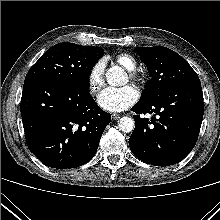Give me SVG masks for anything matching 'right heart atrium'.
<instances>
[{"label": "right heart atrium", "mask_w": 220, "mask_h": 220, "mask_svg": "<svg viewBox=\"0 0 220 220\" xmlns=\"http://www.w3.org/2000/svg\"><path fill=\"white\" fill-rule=\"evenodd\" d=\"M106 68L105 59L97 60L90 68L88 73V86L93 94L99 92L104 85V73Z\"/></svg>", "instance_id": "obj_1"}]
</instances>
